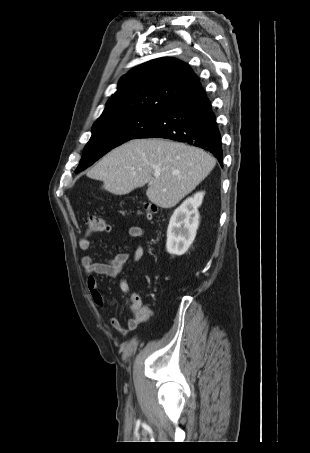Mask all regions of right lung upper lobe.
Returning a JSON list of instances; mask_svg holds the SVG:
<instances>
[{"label":"right lung upper lobe","mask_w":310,"mask_h":453,"mask_svg":"<svg viewBox=\"0 0 310 453\" xmlns=\"http://www.w3.org/2000/svg\"><path fill=\"white\" fill-rule=\"evenodd\" d=\"M200 85L187 63L170 57L154 59L120 79L100 118L120 113L161 114Z\"/></svg>","instance_id":"cb5924a9"}]
</instances>
